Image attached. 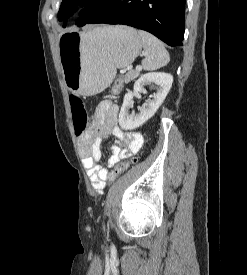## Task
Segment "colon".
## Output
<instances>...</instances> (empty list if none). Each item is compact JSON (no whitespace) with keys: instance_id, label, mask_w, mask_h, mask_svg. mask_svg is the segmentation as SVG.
<instances>
[{"instance_id":"1","label":"colon","mask_w":247,"mask_h":275,"mask_svg":"<svg viewBox=\"0 0 247 275\" xmlns=\"http://www.w3.org/2000/svg\"><path fill=\"white\" fill-rule=\"evenodd\" d=\"M121 88L120 82H116L114 86V92H118ZM70 106L72 113L73 127L76 136H81L85 131L88 123V114L84 102L77 96L70 97ZM137 158L132 157L130 159L121 161L116 167L109 173L108 182H114L124 171H126L131 164L136 163Z\"/></svg>"}]
</instances>
